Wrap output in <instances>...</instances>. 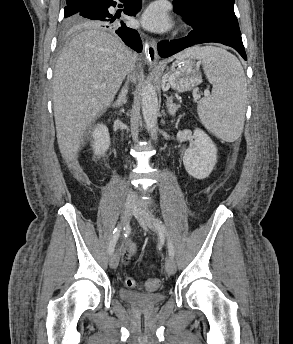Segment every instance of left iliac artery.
<instances>
[{
    "label": "left iliac artery",
    "instance_id": "obj_1",
    "mask_svg": "<svg viewBox=\"0 0 293 344\" xmlns=\"http://www.w3.org/2000/svg\"><path fill=\"white\" fill-rule=\"evenodd\" d=\"M154 226L155 228L160 232V233H164L167 235L168 237V249H169V255L171 257L174 256V247L172 244V241L169 238L168 232L166 230V227L164 226V224L162 223V221L160 219H155L154 220Z\"/></svg>",
    "mask_w": 293,
    "mask_h": 344
}]
</instances>
